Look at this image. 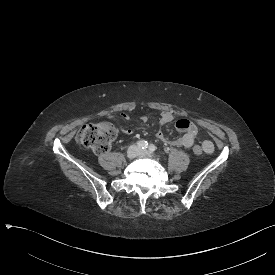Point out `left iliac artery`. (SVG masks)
<instances>
[{
  "label": "left iliac artery",
  "mask_w": 275,
  "mask_h": 275,
  "mask_svg": "<svg viewBox=\"0 0 275 275\" xmlns=\"http://www.w3.org/2000/svg\"><path fill=\"white\" fill-rule=\"evenodd\" d=\"M156 149H157V147H156L155 145H153V144H150L149 147H148V150H149L151 153L155 152Z\"/></svg>",
  "instance_id": "44dca946"
}]
</instances>
